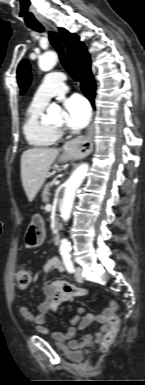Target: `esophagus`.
I'll use <instances>...</instances> for the list:
<instances>
[{
	"mask_svg": "<svg viewBox=\"0 0 145 385\" xmlns=\"http://www.w3.org/2000/svg\"><path fill=\"white\" fill-rule=\"evenodd\" d=\"M93 122L89 125L88 130L84 136H79L66 144V147L72 154L79 157H85L93 150Z\"/></svg>",
	"mask_w": 145,
	"mask_h": 385,
	"instance_id": "1",
	"label": "esophagus"
}]
</instances>
